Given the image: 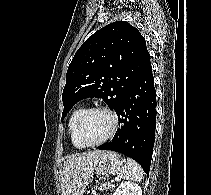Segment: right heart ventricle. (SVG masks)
<instances>
[{
  "label": "right heart ventricle",
  "instance_id": "obj_1",
  "mask_svg": "<svg viewBox=\"0 0 211 195\" xmlns=\"http://www.w3.org/2000/svg\"><path fill=\"white\" fill-rule=\"evenodd\" d=\"M84 110H85L84 107H78V108L74 109L69 117V120H68V129H69V133H70L71 142H72L73 146L77 149L84 148V146L80 143V141L78 140V138L76 136L77 120Z\"/></svg>",
  "mask_w": 211,
  "mask_h": 195
}]
</instances>
